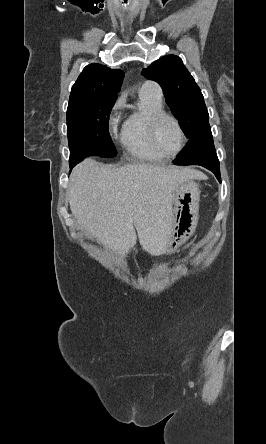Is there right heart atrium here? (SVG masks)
Instances as JSON below:
<instances>
[{"label": "right heart atrium", "instance_id": "right-heart-atrium-1", "mask_svg": "<svg viewBox=\"0 0 266 444\" xmlns=\"http://www.w3.org/2000/svg\"><path fill=\"white\" fill-rule=\"evenodd\" d=\"M124 104L123 97L119 98L115 103L112 112L108 119V130L111 137H114L116 134L117 126L119 123L118 112Z\"/></svg>", "mask_w": 266, "mask_h": 444}]
</instances>
